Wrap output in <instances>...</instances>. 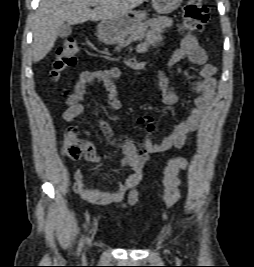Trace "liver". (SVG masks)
<instances>
[{
    "mask_svg": "<svg viewBox=\"0 0 254 267\" xmlns=\"http://www.w3.org/2000/svg\"><path fill=\"white\" fill-rule=\"evenodd\" d=\"M146 0H41L33 25L32 55L42 60L54 47L59 29L67 22L76 25L88 20L114 19L132 11ZM97 3L93 10L90 6Z\"/></svg>",
    "mask_w": 254,
    "mask_h": 267,
    "instance_id": "obj_1",
    "label": "liver"
}]
</instances>
